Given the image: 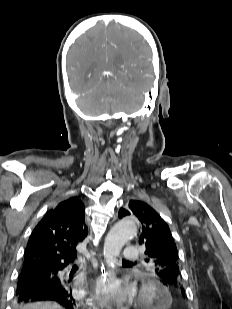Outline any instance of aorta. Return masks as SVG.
Returning <instances> with one entry per match:
<instances>
[{"mask_svg":"<svg viewBox=\"0 0 232 309\" xmlns=\"http://www.w3.org/2000/svg\"><path fill=\"white\" fill-rule=\"evenodd\" d=\"M137 223L133 218L116 223L104 243V258L109 267H114L124 245L136 234Z\"/></svg>","mask_w":232,"mask_h":309,"instance_id":"762f6f07","label":"aorta"}]
</instances>
